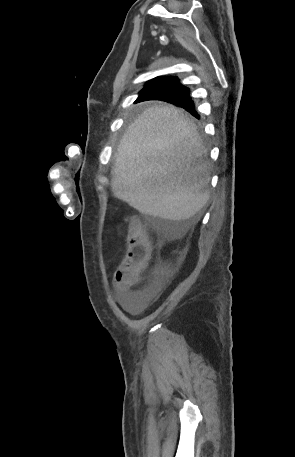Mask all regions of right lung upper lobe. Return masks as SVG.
I'll list each match as a JSON object with an SVG mask.
<instances>
[{"label": "right lung upper lobe", "instance_id": "obj_1", "mask_svg": "<svg viewBox=\"0 0 295 457\" xmlns=\"http://www.w3.org/2000/svg\"><path fill=\"white\" fill-rule=\"evenodd\" d=\"M176 79L175 77H165V76H159L156 77L146 83L145 87H150V86H155V85H160L164 83H168Z\"/></svg>", "mask_w": 295, "mask_h": 457}]
</instances>
